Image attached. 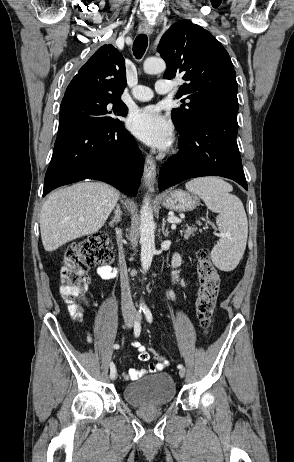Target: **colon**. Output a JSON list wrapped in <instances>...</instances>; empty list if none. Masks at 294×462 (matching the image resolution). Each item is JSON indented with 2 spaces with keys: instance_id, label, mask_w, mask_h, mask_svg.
Wrapping results in <instances>:
<instances>
[{
  "instance_id": "1",
  "label": "colon",
  "mask_w": 294,
  "mask_h": 462,
  "mask_svg": "<svg viewBox=\"0 0 294 462\" xmlns=\"http://www.w3.org/2000/svg\"><path fill=\"white\" fill-rule=\"evenodd\" d=\"M109 243L108 235L96 234L69 247L65 253L61 268L60 292L69 304L68 309L73 317L80 316V307L75 300L88 286L87 272L96 265H108L113 260ZM197 273L200 286L196 299V313L201 327L207 330L212 322L220 278L206 249L198 251ZM149 352L156 360L159 359L155 350Z\"/></svg>"
}]
</instances>
